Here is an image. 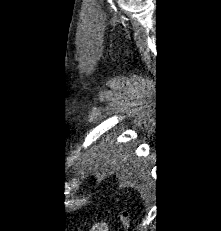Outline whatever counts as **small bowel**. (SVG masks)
I'll use <instances>...</instances> for the list:
<instances>
[{"mask_svg":"<svg viewBox=\"0 0 221 231\" xmlns=\"http://www.w3.org/2000/svg\"><path fill=\"white\" fill-rule=\"evenodd\" d=\"M91 231H108V226L106 223L101 222V223L94 225Z\"/></svg>","mask_w":221,"mask_h":231,"instance_id":"small-bowel-1","label":"small bowel"}]
</instances>
